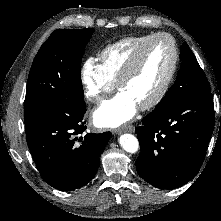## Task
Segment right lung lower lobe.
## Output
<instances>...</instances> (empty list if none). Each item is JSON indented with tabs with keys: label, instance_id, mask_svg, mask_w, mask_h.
I'll use <instances>...</instances> for the list:
<instances>
[{
	"label": "right lung lower lobe",
	"instance_id": "obj_1",
	"mask_svg": "<svg viewBox=\"0 0 221 221\" xmlns=\"http://www.w3.org/2000/svg\"><path fill=\"white\" fill-rule=\"evenodd\" d=\"M85 112V102L65 100L43 110L25 128L41 177L56 189L75 190L90 182L111 137L110 132L87 133L78 139L86 129Z\"/></svg>",
	"mask_w": 221,
	"mask_h": 221
}]
</instances>
